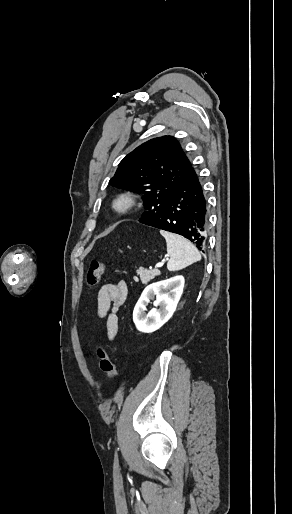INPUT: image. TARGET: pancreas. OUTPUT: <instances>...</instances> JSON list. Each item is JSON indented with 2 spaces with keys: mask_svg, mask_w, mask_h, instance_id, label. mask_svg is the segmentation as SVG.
<instances>
[{
  "mask_svg": "<svg viewBox=\"0 0 292 514\" xmlns=\"http://www.w3.org/2000/svg\"><path fill=\"white\" fill-rule=\"evenodd\" d=\"M137 274H139L142 284H148V282H150V280H153L155 276H160L159 270H144V268H140V270H137ZM134 280L135 282H139L136 276Z\"/></svg>",
  "mask_w": 292,
  "mask_h": 514,
  "instance_id": "obj_1",
  "label": "pancreas"
}]
</instances>
